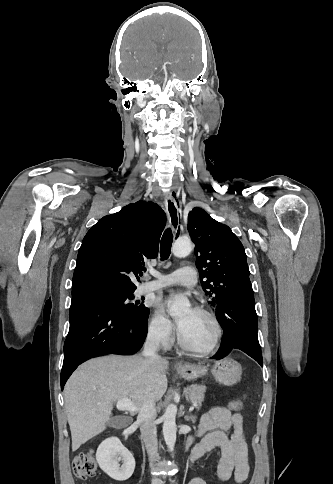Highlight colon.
Instances as JSON below:
<instances>
[{
  "label": "colon",
  "mask_w": 333,
  "mask_h": 484,
  "mask_svg": "<svg viewBox=\"0 0 333 484\" xmlns=\"http://www.w3.org/2000/svg\"><path fill=\"white\" fill-rule=\"evenodd\" d=\"M229 410L239 412L243 408V400L235 399L225 406ZM74 475L82 480L94 477L97 472V461L92 451L77 454L72 463Z\"/></svg>",
  "instance_id": "5ec220e1"
}]
</instances>
